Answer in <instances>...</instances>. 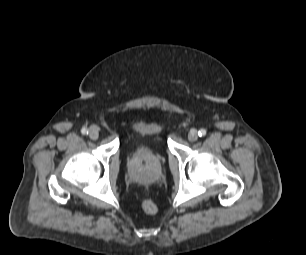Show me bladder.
Segmentation results:
<instances>
[{
	"label": "bladder",
	"instance_id": "31cf9c89",
	"mask_svg": "<svg viewBox=\"0 0 306 255\" xmlns=\"http://www.w3.org/2000/svg\"><path fill=\"white\" fill-rule=\"evenodd\" d=\"M126 147L134 159L156 160L164 149L163 131L156 123H141L126 139Z\"/></svg>",
	"mask_w": 306,
	"mask_h": 255
}]
</instances>
